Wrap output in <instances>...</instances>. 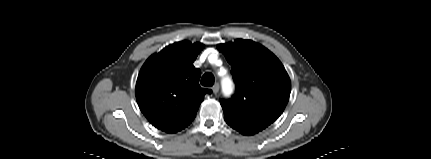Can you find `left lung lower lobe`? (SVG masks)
Instances as JSON below:
<instances>
[{
    "mask_svg": "<svg viewBox=\"0 0 431 159\" xmlns=\"http://www.w3.org/2000/svg\"><path fill=\"white\" fill-rule=\"evenodd\" d=\"M244 135H253L252 133H244Z\"/></svg>",
    "mask_w": 431,
    "mask_h": 159,
    "instance_id": "1",
    "label": "left lung lower lobe"
}]
</instances>
